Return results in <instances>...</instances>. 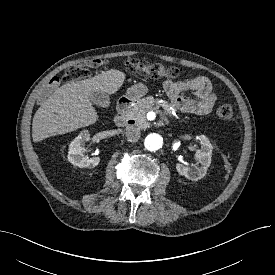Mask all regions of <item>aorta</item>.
<instances>
[{"instance_id":"762f6f07","label":"aorta","mask_w":275,"mask_h":275,"mask_svg":"<svg viewBox=\"0 0 275 275\" xmlns=\"http://www.w3.org/2000/svg\"><path fill=\"white\" fill-rule=\"evenodd\" d=\"M163 146V138L156 133L149 134L145 139V147L150 151H157Z\"/></svg>"}]
</instances>
